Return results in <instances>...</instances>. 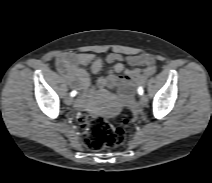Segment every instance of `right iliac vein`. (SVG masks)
I'll use <instances>...</instances> for the list:
<instances>
[{
    "label": "right iliac vein",
    "mask_w": 212,
    "mask_h": 183,
    "mask_svg": "<svg viewBox=\"0 0 212 183\" xmlns=\"http://www.w3.org/2000/svg\"><path fill=\"white\" fill-rule=\"evenodd\" d=\"M65 103H66L67 105H71V104L73 103L72 97H71V96H66V97H65Z\"/></svg>",
    "instance_id": "obj_1"
}]
</instances>
